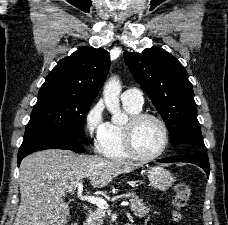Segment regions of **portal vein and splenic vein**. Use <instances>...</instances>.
<instances>
[{"label":"portal vein and splenic vein","mask_w":228,"mask_h":225,"mask_svg":"<svg viewBox=\"0 0 228 225\" xmlns=\"http://www.w3.org/2000/svg\"><path fill=\"white\" fill-rule=\"evenodd\" d=\"M84 184H77L76 188H74V193H76L80 199V201H88V203H92V205H97L99 209H109L111 205H108L107 201L101 199V197H84ZM123 207H127L129 203H121Z\"/></svg>","instance_id":"portal-vein-and-splenic-vein-1"}]
</instances>
